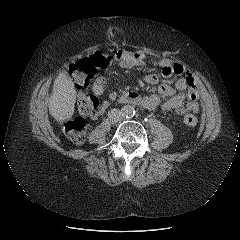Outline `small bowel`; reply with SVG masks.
<instances>
[{
  "label": "small bowel",
  "instance_id": "c3829d8e",
  "mask_svg": "<svg viewBox=\"0 0 240 240\" xmlns=\"http://www.w3.org/2000/svg\"><path fill=\"white\" fill-rule=\"evenodd\" d=\"M146 53L142 51L132 52L128 50L118 51L112 61L121 68L132 69L140 68L145 65ZM160 68V73L163 78H169L172 75L178 77L175 86L171 87L164 83H159L157 77L150 75L147 81L157 84L158 94L141 97L142 105L145 109L152 111L161 104V96L170 97L167 101L161 104V109L165 112H175L183 115L191 112L196 114L199 112V92L197 89V82L194 76L179 63L173 62L169 59H164L156 62ZM107 80L105 77H98L93 83V92L96 95H101L105 91ZM177 92H181L176 94ZM118 94L111 92L106 100L101 103L100 108L91 115V118H99L108 108L111 102L116 100Z\"/></svg>",
  "mask_w": 240,
  "mask_h": 240
}]
</instances>
